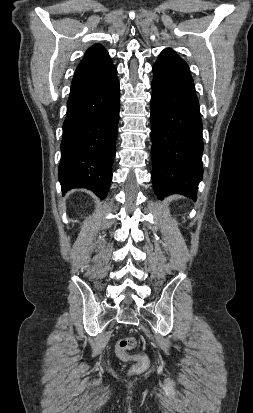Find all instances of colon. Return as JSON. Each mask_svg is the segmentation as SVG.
<instances>
[{
  "instance_id": "1",
  "label": "colon",
  "mask_w": 253,
  "mask_h": 413,
  "mask_svg": "<svg viewBox=\"0 0 253 413\" xmlns=\"http://www.w3.org/2000/svg\"><path fill=\"white\" fill-rule=\"evenodd\" d=\"M137 346V339L135 337H125L118 341L116 345L117 356L124 360H133L135 363L130 369L133 374L141 373L148 365V358L143 354H129V351L133 350Z\"/></svg>"
}]
</instances>
